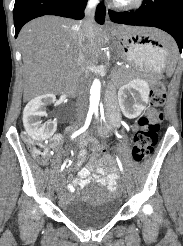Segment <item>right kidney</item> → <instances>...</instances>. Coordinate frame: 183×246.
<instances>
[{
	"label": "right kidney",
	"instance_id": "right-kidney-1",
	"mask_svg": "<svg viewBox=\"0 0 183 246\" xmlns=\"http://www.w3.org/2000/svg\"><path fill=\"white\" fill-rule=\"evenodd\" d=\"M56 101L53 94H44L32 99L24 108L23 124L28 135L36 141L50 138L57 129L56 121L43 123L42 117L46 115V106Z\"/></svg>",
	"mask_w": 183,
	"mask_h": 246
}]
</instances>
